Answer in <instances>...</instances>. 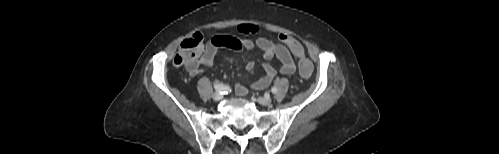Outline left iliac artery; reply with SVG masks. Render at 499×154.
Returning a JSON list of instances; mask_svg holds the SVG:
<instances>
[{
	"label": "left iliac artery",
	"instance_id": "1",
	"mask_svg": "<svg viewBox=\"0 0 499 154\" xmlns=\"http://www.w3.org/2000/svg\"><path fill=\"white\" fill-rule=\"evenodd\" d=\"M271 92H272L273 94L277 93V88H276V87H273V88L271 89Z\"/></svg>",
	"mask_w": 499,
	"mask_h": 154
}]
</instances>
